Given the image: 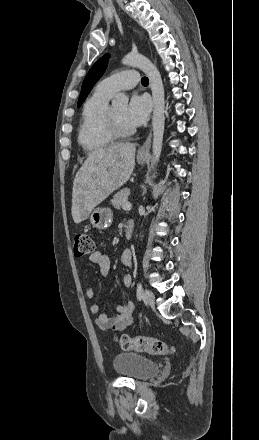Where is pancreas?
Returning <instances> with one entry per match:
<instances>
[{"label": "pancreas", "instance_id": "1", "mask_svg": "<svg viewBox=\"0 0 259 440\" xmlns=\"http://www.w3.org/2000/svg\"><path fill=\"white\" fill-rule=\"evenodd\" d=\"M129 194L130 190L128 188H124L117 192L111 200L113 207L117 210H120L121 206L127 202Z\"/></svg>", "mask_w": 259, "mask_h": 440}]
</instances>
